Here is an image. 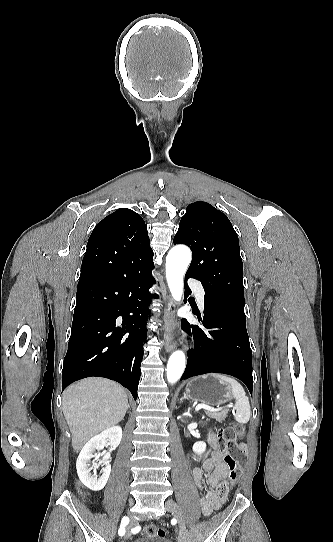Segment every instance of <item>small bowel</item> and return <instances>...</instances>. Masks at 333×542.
<instances>
[{
    "mask_svg": "<svg viewBox=\"0 0 333 542\" xmlns=\"http://www.w3.org/2000/svg\"><path fill=\"white\" fill-rule=\"evenodd\" d=\"M207 441L210 447L209 455L202 457V467H194L192 476L196 487L202 490L204 473L209 475L207 481V491L200 499V508L205 516H210L214 511L221 508L226 500V493L221 491V486L229 475V467L225 461L229 452L221 449L218 445V438L215 433L209 432ZM237 450L246 454L248 449L243 443L237 445ZM137 529L132 527L128 530V535H134Z\"/></svg>",
    "mask_w": 333,
    "mask_h": 542,
    "instance_id": "obj_1",
    "label": "small bowel"
}]
</instances>
